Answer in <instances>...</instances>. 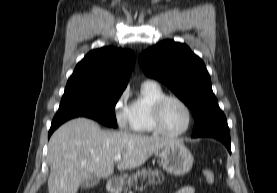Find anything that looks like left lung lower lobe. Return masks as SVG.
Listing matches in <instances>:
<instances>
[{
	"label": "left lung lower lobe",
	"mask_w": 277,
	"mask_h": 193,
	"mask_svg": "<svg viewBox=\"0 0 277 193\" xmlns=\"http://www.w3.org/2000/svg\"><path fill=\"white\" fill-rule=\"evenodd\" d=\"M193 137H212L220 140L227 147L228 151L231 153V140H230V131L226 122H221L216 125H213L197 134H194Z\"/></svg>",
	"instance_id": "0a47b994"
}]
</instances>
